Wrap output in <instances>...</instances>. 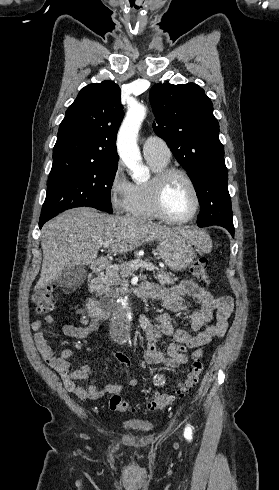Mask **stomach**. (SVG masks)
Returning <instances> with one entry per match:
<instances>
[{
  "instance_id": "stomach-1",
  "label": "stomach",
  "mask_w": 279,
  "mask_h": 490,
  "mask_svg": "<svg viewBox=\"0 0 279 490\" xmlns=\"http://www.w3.org/2000/svg\"><path fill=\"white\" fill-rule=\"evenodd\" d=\"M158 256L165 262L169 270L182 272V270H186L193 264L196 250L193 248L192 240H186V238H182L180 234H177V236L162 240Z\"/></svg>"
}]
</instances>
